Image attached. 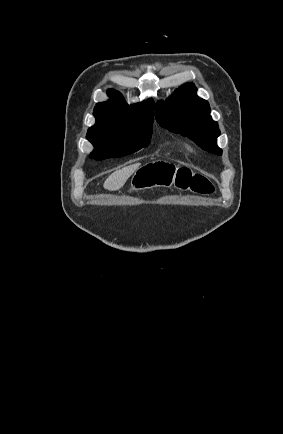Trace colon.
<instances>
[{"mask_svg":"<svg viewBox=\"0 0 283 434\" xmlns=\"http://www.w3.org/2000/svg\"><path fill=\"white\" fill-rule=\"evenodd\" d=\"M133 186L137 190L174 186L204 195L212 194L214 191V186L206 175L165 162L142 166L134 177Z\"/></svg>","mask_w":283,"mask_h":434,"instance_id":"5ec220e1","label":"colon"}]
</instances>
